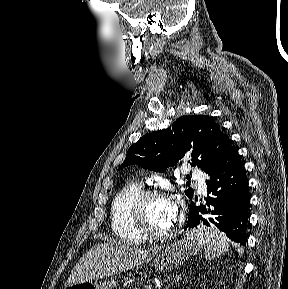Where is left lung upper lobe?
<instances>
[{
    "label": "left lung upper lobe",
    "mask_w": 288,
    "mask_h": 289,
    "mask_svg": "<svg viewBox=\"0 0 288 289\" xmlns=\"http://www.w3.org/2000/svg\"><path fill=\"white\" fill-rule=\"evenodd\" d=\"M228 140V136L209 116H182L171 128L146 134L130 146L118 170L138 164L156 172H164L193 149L191 165L207 173L222 154ZM193 192L189 188L185 194L192 199Z\"/></svg>",
    "instance_id": "left-lung-upper-lobe-1"
}]
</instances>
